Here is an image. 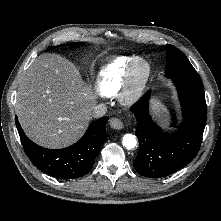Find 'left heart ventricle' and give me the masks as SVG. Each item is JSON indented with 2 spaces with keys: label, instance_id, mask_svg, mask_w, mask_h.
<instances>
[{
  "label": "left heart ventricle",
  "instance_id": "1",
  "mask_svg": "<svg viewBox=\"0 0 221 221\" xmlns=\"http://www.w3.org/2000/svg\"><path fill=\"white\" fill-rule=\"evenodd\" d=\"M144 72H145L144 65L141 63L137 64V66L135 67V71H134L135 82H138L142 78Z\"/></svg>",
  "mask_w": 221,
  "mask_h": 221
}]
</instances>
